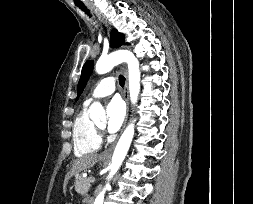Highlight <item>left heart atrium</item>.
I'll return each instance as SVG.
<instances>
[{
  "instance_id": "1",
  "label": "left heart atrium",
  "mask_w": 253,
  "mask_h": 204,
  "mask_svg": "<svg viewBox=\"0 0 253 204\" xmlns=\"http://www.w3.org/2000/svg\"><path fill=\"white\" fill-rule=\"evenodd\" d=\"M107 123L108 132L114 133L121 127L125 118V108L122 101L118 98L112 99L107 105Z\"/></svg>"
}]
</instances>
